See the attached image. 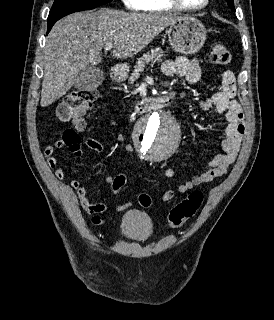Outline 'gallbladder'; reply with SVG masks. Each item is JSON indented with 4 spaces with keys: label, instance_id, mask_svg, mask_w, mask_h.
Masks as SVG:
<instances>
[{
    "label": "gallbladder",
    "instance_id": "1",
    "mask_svg": "<svg viewBox=\"0 0 274 320\" xmlns=\"http://www.w3.org/2000/svg\"><path fill=\"white\" fill-rule=\"evenodd\" d=\"M104 68H81L74 80L75 88L78 90H96L97 86L104 80Z\"/></svg>",
    "mask_w": 274,
    "mask_h": 320
}]
</instances>
